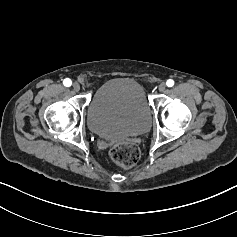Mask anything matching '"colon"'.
I'll return each instance as SVG.
<instances>
[{"label":"colon","instance_id":"5ec220e1","mask_svg":"<svg viewBox=\"0 0 237 237\" xmlns=\"http://www.w3.org/2000/svg\"><path fill=\"white\" fill-rule=\"evenodd\" d=\"M109 156L117 166L131 168L139 161L140 151L134 143L125 141L112 145L109 149Z\"/></svg>","mask_w":237,"mask_h":237}]
</instances>
